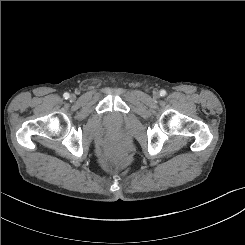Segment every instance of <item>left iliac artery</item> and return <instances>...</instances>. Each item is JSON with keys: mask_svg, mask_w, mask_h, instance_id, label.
Returning a JSON list of instances; mask_svg holds the SVG:
<instances>
[{"mask_svg": "<svg viewBox=\"0 0 245 245\" xmlns=\"http://www.w3.org/2000/svg\"><path fill=\"white\" fill-rule=\"evenodd\" d=\"M160 95H161V96H165V95H166V91H165V90H161V91H160Z\"/></svg>", "mask_w": 245, "mask_h": 245, "instance_id": "44dca946", "label": "left iliac artery"}]
</instances>
